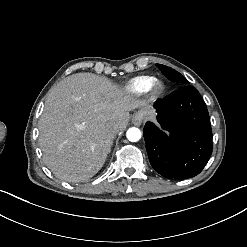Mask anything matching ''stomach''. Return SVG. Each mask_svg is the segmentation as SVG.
<instances>
[{"mask_svg": "<svg viewBox=\"0 0 247 247\" xmlns=\"http://www.w3.org/2000/svg\"><path fill=\"white\" fill-rule=\"evenodd\" d=\"M148 118L155 121L154 107L151 103H147L146 105L141 107L135 114H133L132 123H135L136 121H140L142 123Z\"/></svg>", "mask_w": 247, "mask_h": 247, "instance_id": "1", "label": "stomach"}]
</instances>
